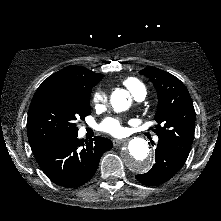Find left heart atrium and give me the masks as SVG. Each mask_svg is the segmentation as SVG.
I'll use <instances>...</instances> for the list:
<instances>
[{"label":"left heart atrium","mask_w":221,"mask_h":221,"mask_svg":"<svg viewBox=\"0 0 221 221\" xmlns=\"http://www.w3.org/2000/svg\"><path fill=\"white\" fill-rule=\"evenodd\" d=\"M101 129L113 136H120L124 132L121 121L115 118H107L102 123Z\"/></svg>","instance_id":"1"}]
</instances>
